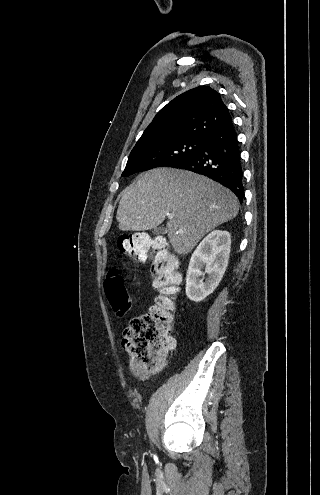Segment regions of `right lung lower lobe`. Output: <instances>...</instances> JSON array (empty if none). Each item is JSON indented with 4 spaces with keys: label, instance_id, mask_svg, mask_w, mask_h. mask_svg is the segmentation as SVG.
Returning <instances> with one entry per match:
<instances>
[{
    "label": "right lung lower lobe",
    "instance_id": "1",
    "mask_svg": "<svg viewBox=\"0 0 320 495\" xmlns=\"http://www.w3.org/2000/svg\"><path fill=\"white\" fill-rule=\"evenodd\" d=\"M172 167L207 176L228 187L243 202V170L232 122L210 133L198 152Z\"/></svg>",
    "mask_w": 320,
    "mask_h": 495
}]
</instances>
